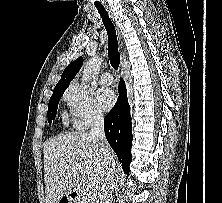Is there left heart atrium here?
I'll return each instance as SVG.
<instances>
[{"label": "left heart atrium", "mask_w": 222, "mask_h": 203, "mask_svg": "<svg viewBox=\"0 0 222 203\" xmlns=\"http://www.w3.org/2000/svg\"><path fill=\"white\" fill-rule=\"evenodd\" d=\"M100 106L109 110L116 102V94L111 88H102L97 93Z\"/></svg>", "instance_id": "obj_1"}]
</instances>
